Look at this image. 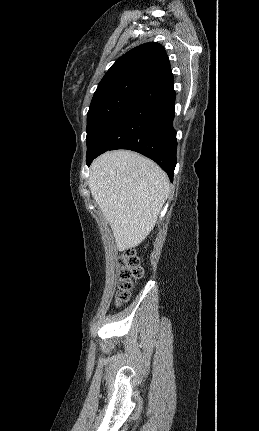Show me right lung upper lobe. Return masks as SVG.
I'll list each match as a JSON object with an SVG mask.
<instances>
[{
  "label": "right lung upper lobe",
  "instance_id": "cb5924a9",
  "mask_svg": "<svg viewBox=\"0 0 259 431\" xmlns=\"http://www.w3.org/2000/svg\"><path fill=\"white\" fill-rule=\"evenodd\" d=\"M173 80L164 47L159 43L149 42L133 48L118 58L100 81L96 92L129 81H138L152 90Z\"/></svg>",
  "mask_w": 259,
  "mask_h": 431
}]
</instances>
